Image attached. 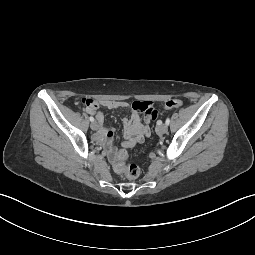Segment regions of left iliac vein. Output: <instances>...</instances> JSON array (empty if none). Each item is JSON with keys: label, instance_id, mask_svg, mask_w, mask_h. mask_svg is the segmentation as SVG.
Returning a JSON list of instances; mask_svg holds the SVG:
<instances>
[{"label": "left iliac vein", "instance_id": "left-iliac-vein-1", "mask_svg": "<svg viewBox=\"0 0 255 255\" xmlns=\"http://www.w3.org/2000/svg\"><path fill=\"white\" fill-rule=\"evenodd\" d=\"M158 131L161 133V134H165L167 131H168V125L166 123L160 125L158 127Z\"/></svg>", "mask_w": 255, "mask_h": 255}]
</instances>
